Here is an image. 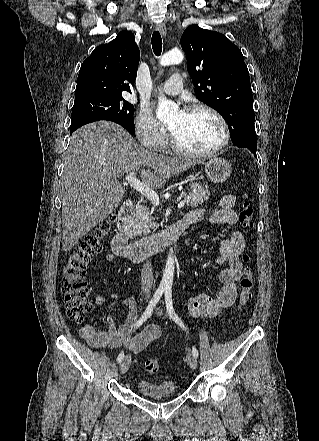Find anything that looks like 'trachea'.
<instances>
[{"instance_id": "3493384b", "label": "trachea", "mask_w": 319, "mask_h": 441, "mask_svg": "<svg viewBox=\"0 0 319 441\" xmlns=\"http://www.w3.org/2000/svg\"><path fill=\"white\" fill-rule=\"evenodd\" d=\"M151 44L154 54L160 56L162 52V38L159 31L153 32Z\"/></svg>"}]
</instances>
